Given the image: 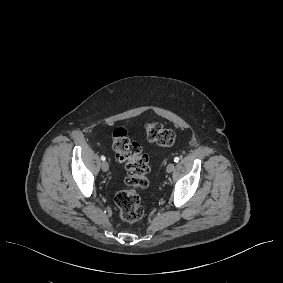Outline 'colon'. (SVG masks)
<instances>
[{
	"mask_svg": "<svg viewBox=\"0 0 283 283\" xmlns=\"http://www.w3.org/2000/svg\"><path fill=\"white\" fill-rule=\"evenodd\" d=\"M148 141L162 147H171L175 143V134L161 123L151 122L145 127ZM112 147L118 161L125 164L127 188L115 196V204L123 221L134 224L142 220L144 209L138 194L139 189L149 185V158L142 152L141 146L132 141L124 128H117L112 133Z\"/></svg>",
	"mask_w": 283,
	"mask_h": 283,
	"instance_id": "colon-1",
	"label": "colon"
}]
</instances>
